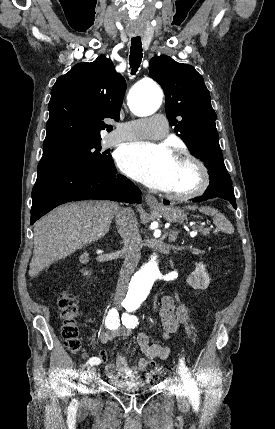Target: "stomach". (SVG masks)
Returning <instances> with one entry per match:
<instances>
[{
	"label": "stomach",
	"mask_w": 275,
	"mask_h": 429,
	"mask_svg": "<svg viewBox=\"0 0 275 429\" xmlns=\"http://www.w3.org/2000/svg\"><path fill=\"white\" fill-rule=\"evenodd\" d=\"M153 210L161 214L169 222H182L185 218L184 212L174 206H161L153 208Z\"/></svg>",
	"instance_id": "1"
}]
</instances>
